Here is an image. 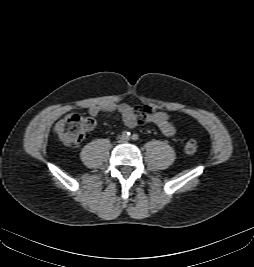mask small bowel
<instances>
[{
	"mask_svg": "<svg viewBox=\"0 0 254 267\" xmlns=\"http://www.w3.org/2000/svg\"><path fill=\"white\" fill-rule=\"evenodd\" d=\"M103 112L118 114L128 128H134L138 124L151 123L156 125L166 136H173L175 134V126L171 121L170 115L149 106L132 108L125 103H105L93 105L88 109V113L92 117H96Z\"/></svg>",
	"mask_w": 254,
	"mask_h": 267,
	"instance_id": "small-bowel-1",
	"label": "small bowel"
}]
</instances>
